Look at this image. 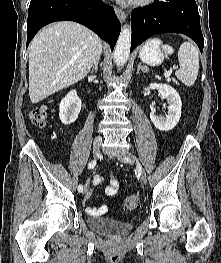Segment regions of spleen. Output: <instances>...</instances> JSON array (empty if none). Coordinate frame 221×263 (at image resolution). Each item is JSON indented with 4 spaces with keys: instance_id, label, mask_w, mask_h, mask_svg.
Returning <instances> with one entry per match:
<instances>
[{
    "instance_id": "obj_1",
    "label": "spleen",
    "mask_w": 221,
    "mask_h": 263,
    "mask_svg": "<svg viewBox=\"0 0 221 263\" xmlns=\"http://www.w3.org/2000/svg\"><path fill=\"white\" fill-rule=\"evenodd\" d=\"M166 54H173L174 49L169 45L162 46ZM180 69L175 72L176 77L186 86H192L198 76L199 53L191 42H184L178 51Z\"/></svg>"
}]
</instances>
